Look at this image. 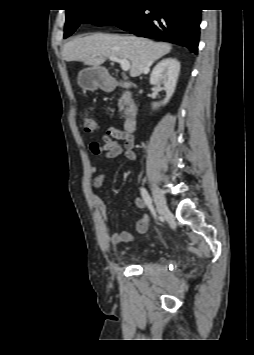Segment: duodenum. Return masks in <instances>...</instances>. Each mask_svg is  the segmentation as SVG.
I'll use <instances>...</instances> for the list:
<instances>
[{
    "label": "duodenum",
    "mask_w": 254,
    "mask_h": 355,
    "mask_svg": "<svg viewBox=\"0 0 254 355\" xmlns=\"http://www.w3.org/2000/svg\"><path fill=\"white\" fill-rule=\"evenodd\" d=\"M122 86L124 88L133 89L135 88V84L131 82L120 81L119 79L117 82H111V85H108L109 88L113 89L114 87ZM124 129L128 133H133L136 129V112H132L124 122Z\"/></svg>",
    "instance_id": "obj_1"
}]
</instances>
